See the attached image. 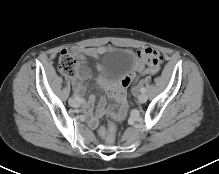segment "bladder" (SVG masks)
Returning a JSON list of instances; mask_svg holds the SVG:
<instances>
[{
    "label": "bladder",
    "instance_id": "bladder-1",
    "mask_svg": "<svg viewBox=\"0 0 219 174\" xmlns=\"http://www.w3.org/2000/svg\"><path fill=\"white\" fill-rule=\"evenodd\" d=\"M133 62V57L127 50L118 49L108 53L102 64L100 72L106 82H112L123 75Z\"/></svg>",
    "mask_w": 219,
    "mask_h": 174
}]
</instances>
